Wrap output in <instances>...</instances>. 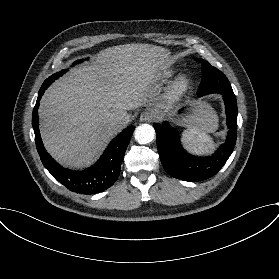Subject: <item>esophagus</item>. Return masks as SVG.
Here are the masks:
<instances>
[{
	"label": "esophagus",
	"instance_id": "1",
	"mask_svg": "<svg viewBox=\"0 0 279 279\" xmlns=\"http://www.w3.org/2000/svg\"><path fill=\"white\" fill-rule=\"evenodd\" d=\"M156 118V113L154 111H144L140 115V121L151 122Z\"/></svg>",
	"mask_w": 279,
	"mask_h": 279
}]
</instances>
